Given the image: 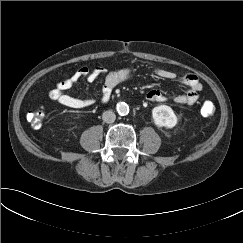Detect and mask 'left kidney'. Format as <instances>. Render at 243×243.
Segmentation results:
<instances>
[{
    "instance_id": "obj_1",
    "label": "left kidney",
    "mask_w": 243,
    "mask_h": 243,
    "mask_svg": "<svg viewBox=\"0 0 243 243\" xmlns=\"http://www.w3.org/2000/svg\"><path fill=\"white\" fill-rule=\"evenodd\" d=\"M152 118L158 127L173 128L177 124V116L171 107L160 105L152 109Z\"/></svg>"
}]
</instances>
